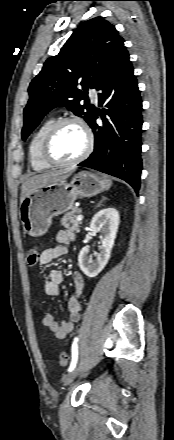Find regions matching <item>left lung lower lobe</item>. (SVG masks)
<instances>
[{"label": "left lung lower lobe", "mask_w": 174, "mask_h": 440, "mask_svg": "<svg viewBox=\"0 0 174 440\" xmlns=\"http://www.w3.org/2000/svg\"><path fill=\"white\" fill-rule=\"evenodd\" d=\"M97 90L102 113L94 110L88 124L95 135L94 151L79 166L121 178L136 192L142 171V101L126 48L106 70ZM100 116L103 125L96 124Z\"/></svg>", "instance_id": "obj_1"}]
</instances>
